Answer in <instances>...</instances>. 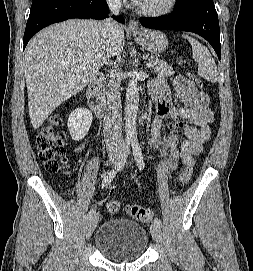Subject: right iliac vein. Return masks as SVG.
I'll return each mask as SVG.
<instances>
[{"label":"right iliac vein","mask_w":253,"mask_h":271,"mask_svg":"<svg viewBox=\"0 0 253 271\" xmlns=\"http://www.w3.org/2000/svg\"><path fill=\"white\" fill-rule=\"evenodd\" d=\"M120 157V152L118 151H112L109 153V162L111 165L116 164ZM98 223V214H94L87 222L86 224V237L90 238L93 234L96 226Z\"/></svg>","instance_id":"1"}]
</instances>
